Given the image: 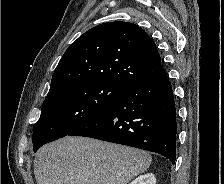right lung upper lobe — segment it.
<instances>
[{
    "label": "right lung upper lobe",
    "mask_w": 224,
    "mask_h": 184,
    "mask_svg": "<svg viewBox=\"0 0 224 184\" xmlns=\"http://www.w3.org/2000/svg\"><path fill=\"white\" fill-rule=\"evenodd\" d=\"M164 75L156 44L142 28L129 22H108L88 30L67 48L46 98L82 82L130 86Z\"/></svg>",
    "instance_id": "right-lung-upper-lobe-1"
}]
</instances>
